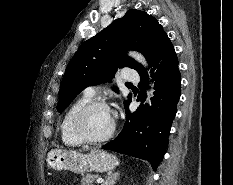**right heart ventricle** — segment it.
<instances>
[{
	"label": "right heart ventricle",
	"mask_w": 233,
	"mask_h": 185,
	"mask_svg": "<svg viewBox=\"0 0 233 185\" xmlns=\"http://www.w3.org/2000/svg\"><path fill=\"white\" fill-rule=\"evenodd\" d=\"M89 102V98L84 96L74 101L66 110L60 125L61 139L63 143L70 147H77L83 144L73 132V119L78 110Z\"/></svg>",
	"instance_id": "1"
}]
</instances>
